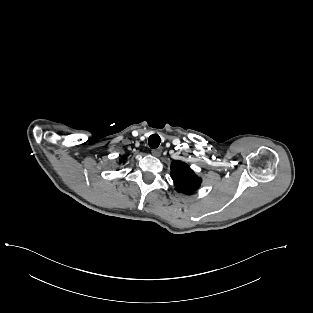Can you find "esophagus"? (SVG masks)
<instances>
[{"mask_svg": "<svg viewBox=\"0 0 313 313\" xmlns=\"http://www.w3.org/2000/svg\"><path fill=\"white\" fill-rule=\"evenodd\" d=\"M152 155L159 157L161 155V149H153L152 151Z\"/></svg>", "mask_w": 313, "mask_h": 313, "instance_id": "1", "label": "esophagus"}]
</instances>
